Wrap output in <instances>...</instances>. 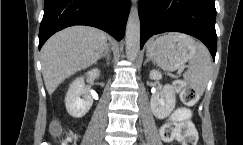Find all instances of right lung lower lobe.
<instances>
[{"instance_id":"right-lung-lower-lobe-1","label":"right lung lower lobe","mask_w":243,"mask_h":145,"mask_svg":"<svg viewBox=\"0 0 243 145\" xmlns=\"http://www.w3.org/2000/svg\"><path fill=\"white\" fill-rule=\"evenodd\" d=\"M130 0H45L39 50L55 32L72 25L100 28L118 41L125 33Z\"/></svg>"}]
</instances>
